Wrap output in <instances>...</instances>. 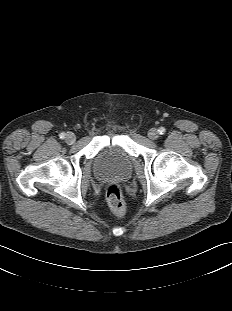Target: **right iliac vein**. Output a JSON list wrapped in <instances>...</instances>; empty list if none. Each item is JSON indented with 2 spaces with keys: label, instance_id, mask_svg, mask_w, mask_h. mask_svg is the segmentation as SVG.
I'll return each mask as SVG.
<instances>
[{
  "label": "right iliac vein",
  "instance_id": "1",
  "mask_svg": "<svg viewBox=\"0 0 232 311\" xmlns=\"http://www.w3.org/2000/svg\"><path fill=\"white\" fill-rule=\"evenodd\" d=\"M66 142L68 143V144H73L74 142H75V140H76V137H75V135L73 134V133H71V132H69L67 135H66Z\"/></svg>",
  "mask_w": 232,
  "mask_h": 311
}]
</instances>
